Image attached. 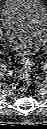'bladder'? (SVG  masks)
Returning <instances> with one entry per match:
<instances>
[{"label": "bladder", "instance_id": "1", "mask_svg": "<svg viewBox=\"0 0 47 129\" xmlns=\"http://www.w3.org/2000/svg\"><path fill=\"white\" fill-rule=\"evenodd\" d=\"M1 27L9 46L21 55L38 52L47 38V11L39 0H6Z\"/></svg>", "mask_w": 47, "mask_h": 129}]
</instances>
